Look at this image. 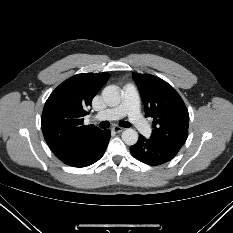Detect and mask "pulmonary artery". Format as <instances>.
I'll list each match as a JSON object with an SVG mask.
<instances>
[{"label":"pulmonary artery","instance_id":"pulmonary-artery-1","mask_svg":"<svg viewBox=\"0 0 233 233\" xmlns=\"http://www.w3.org/2000/svg\"><path fill=\"white\" fill-rule=\"evenodd\" d=\"M128 116L130 122L144 136L151 133V127L140 114V98L137 87L129 83L124 87L121 103L113 108L106 109L98 113L97 120H118Z\"/></svg>","mask_w":233,"mask_h":233}]
</instances>
